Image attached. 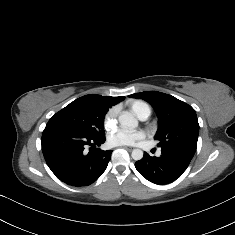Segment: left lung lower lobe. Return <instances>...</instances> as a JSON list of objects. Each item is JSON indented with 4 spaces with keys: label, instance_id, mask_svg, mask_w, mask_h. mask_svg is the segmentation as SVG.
<instances>
[{
    "label": "left lung lower lobe",
    "instance_id": "left-lung-lower-lobe-1",
    "mask_svg": "<svg viewBox=\"0 0 235 235\" xmlns=\"http://www.w3.org/2000/svg\"><path fill=\"white\" fill-rule=\"evenodd\" d=\"M193 156L194 153L183 148L161 147L160 157H152L144 153V157L135 163V167L147 180L162 185L181 176Z\"/></svg>",
    "mask_w": 235,
    "mask_h": 235
}]
</instances>
